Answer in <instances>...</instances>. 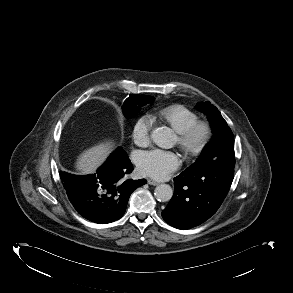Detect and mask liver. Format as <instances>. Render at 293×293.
Wrapping results in <instances>:
<instances>
[{"label": "liver", "instance_id": "obj_1", "mask_svg": "<svg viewBox=\"0 0 293 293\" xmlns=\"http://www.w3.org/2000/svg\"><path fill=\"white\" fill-rule=\"evenodd\" d=\"M114 149V142L106 140L83 151L75 164L79 174L94 173Z\"/></svg>", "mask_w": 293, "mask_h": 293}]
</instances>
